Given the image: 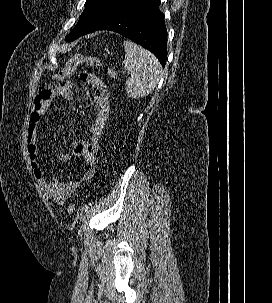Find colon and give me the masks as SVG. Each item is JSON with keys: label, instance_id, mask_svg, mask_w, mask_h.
<instances>
[{"label": "colon", "instance_id": "1", "mask_svg": "<svg viewBox=\"0 0 272 303\" xmlns=\"http://www.w3.org/2000/svg\"><path fill=\"white\" fill-rule=\"evenodd\" d=\"M82 63H85L91 67H100L101 66V61L96 56H90V55L74 56L73 58L68 60L65 68L56 76V78L60 80V79L70 77L74 73L76 67ZM107 75L111 78H115L117 76V73L114 69L109 68L107 70ZM74 209H75L74 205L69 204L67 207V213L69 215L73 214Z\"/></svg>", "mask_w": 272, "mask_h": 303}]
</instances>
